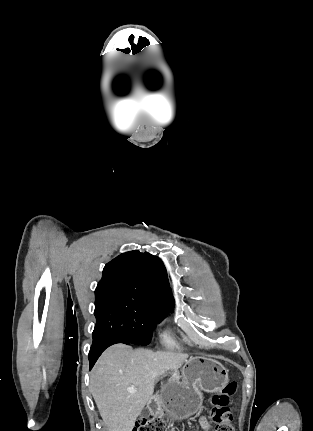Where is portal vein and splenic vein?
I'll return each mask as SVG.
<instances>
[{
    "instance_id": "portal-vein-and-splenic-vein-1",
    "label": "portal vein and splenic vein",
    "mask_w": 313,
    "mask_h": 431,
    "mask_svg": "<svg viewBox=\"0 0 313 431\" xmlns=\"http://www.w3.org/2000/svg\"><path fill=\"white\" fill-rule=\"evenodd\" d=\"M127 391H128L130 394H134V393H136V392H137V390H136L135 388H133V387H128V388H127Z\"/></svg>"
}]
</instances>
